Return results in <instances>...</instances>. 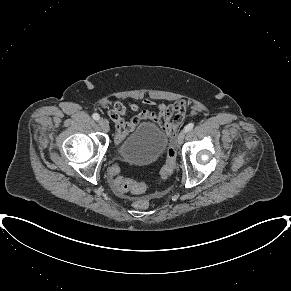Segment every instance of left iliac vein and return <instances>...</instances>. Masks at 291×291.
<instances>
[{
  "label": "left iliac vein",
  "instance_id": "left-iliac-vein-1",
  "mask_svg": "<svg viewBox=\"0 0 291 291\" xmlns=\"http://www.w3.org/2000/svg\"><path fill=\"white\" fill-rule=\"evenodd\" d=\"M185 134H186V132H185L184 130L181 131V132L178 134V136H177V143H178L179 145H181V144L183 143L184 138H185Z\"/></svg>",
  "mask_w": 291,
  "mask_h": 291
}]
</instances>
